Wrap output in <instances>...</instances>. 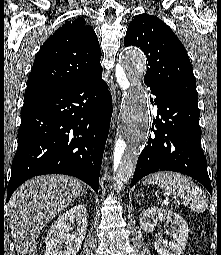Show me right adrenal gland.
Segmentation results:
<instances>
[{"mask_svg":"<svg viewBox=\"0 0 221 255\" xmlns=\"http://www.w3.org/2000/svg\"><path fill=\"white\" fill-rule=\"evenodd\" d=\"M83 194H87V192H86L85 190H83V191H82V194H81V196H80V197H82V196H83Z\"/></svg>","mask_w":221,"mask_h":255,"instance_id":"1","label":"right adrenal gland"}]
</instances>
